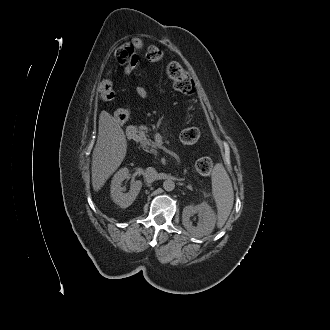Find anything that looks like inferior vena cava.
I'll return each mask as SVG.
<instances>
[{
	"mask_svg": "<svg viewBox=\"0 0 330 330\" xmlns=\"http://www.w3.org/2000/svg\"><path fill=\"white\" fill-rule=\"evenodd\" d=\"M144 176L148 183H152L158 178V172L154 168L148 167L145 170Z\"/></svg>",
	"mask_w": 330,
	"mask_h": 330,
	"instance_id": "602c4592",
	"label": "inferior vena cava"
}]
</instances>
